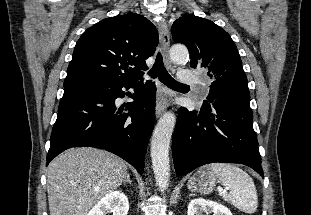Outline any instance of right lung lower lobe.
Listing matches in <instances>:
<instances>
[{
  "label": "right lung lower lobe",
  "instance_id": "98d812e1",
  "mask_svg": "<svg viewBox=\"0 0 311 215\" xmlns=\"http://www.w3.org/2000/svg\"><path fill=\"white\" fill-rule=\"evenodd\" d=\"M122 88H134V101L125 109H118L115 100L125 96ZM155 91L154 83L144 85L141 81L98 80L66 86L52 129L46 165L68 148L89 146L120 156L142 174L154 127Z\"/></svg>",
  "mask_w": 311,
  "mask_h": 215
}]
</instances>
